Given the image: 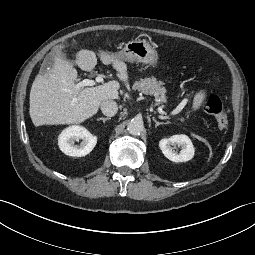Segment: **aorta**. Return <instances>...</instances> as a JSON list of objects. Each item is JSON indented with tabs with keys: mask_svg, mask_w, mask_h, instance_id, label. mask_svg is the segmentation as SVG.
I'll return each mask as SVG.
<instances>
[{
	"mask_svg": "<svg viewBox=\"0 0 255 255\" xmlns=\"http://www.w3.org/2000/svg\"><path fill=\"white\" fill-rule=\"evenodd\" d=\"M127 130L133 136L140 135L144 131L143 121L140 119H132L128 123Z\"/></svg>",
	"mask_w": 255,
	"mask_h": 255,
	"instance_id": "1",
	"label": "aorta"
}]
</instances>
